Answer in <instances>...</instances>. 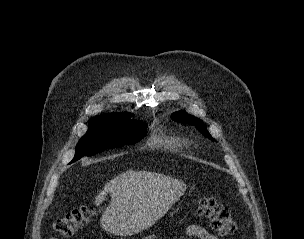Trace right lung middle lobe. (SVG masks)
Here are the masks:
<instances>
[{
	"label": "right lung middle lobe",
	"instance_id": "right-lung-middle-lobe-1",
	"mask_svg": "<svg viewBox=\"0 0 304 239\" xmlns=\"http://www.w3.org/2000/svg\"><path fill=\"white\" fill-rule=\"evenodd\" d=\"M128 113L116 118H92L87 133L79 140L72 162L109 148L135 144L146 135V124L129 119Z\"/></svg>",
	"mask_w": 304,
	"mask_h": 239
}]
</instances>
